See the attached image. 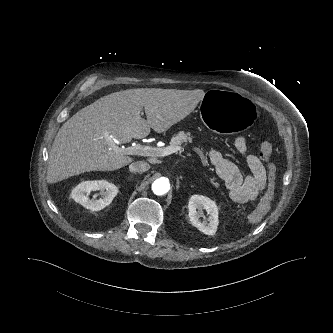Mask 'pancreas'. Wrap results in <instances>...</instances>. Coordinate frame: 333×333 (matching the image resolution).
I'll return each instance as SVG.
<instances>
[{
	"mask_svg": "<svg viewBox=\"0 0 333 333\" xmlns=\"http://www.w3.org/2000/svg\"><path fill=\"white\" fill-rule=\"evenodd\" d=\"M193 137L191 136V133H185L183 131L178 132L176 135H174L171 138V142L170 145L171 146H177V145H181L182 143H187V142H192ZM210 182L215 186L218 187L219 184L217 182H215L214 178H210Z\"/></svg>",
	"mask_w": 333,
	"mask_h": 333,
	"instance_id": "obj_1",
	"label": "pancreas"
}]
</instances>
